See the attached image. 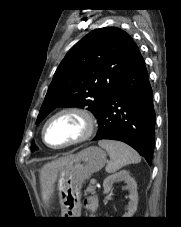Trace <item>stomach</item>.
I'll return each instance as SVG.
<instances>
[{
	"instance_id": "0dacf381",
	"label": "stomach",
	"mask_w": 181,
	"mask_h": 227,
	"mask_svg": "<svg viewBox=\"0 0 181 227\" xmlns=\"http://www.w3.org/2000/svg\"><path fill=\"white\" fill-rule=\"evenodd\" d=\"M106 153L97 146H90L75 155V158L59 173L58 194L63 217H76L80 212L81 189L86 179L102 169Z\"/></svg>"
}]
</instances>
